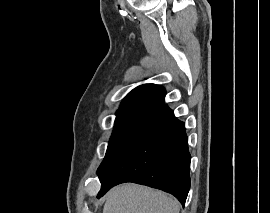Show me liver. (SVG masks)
<instances>
[{"label": "liver", "mask_w": 270, "mask_h": 213, "mask_svg": "<svg viewBox=\"0 0 270 213\" xmlns=\"http://www.w3.org/2000/svg\"><path fill=\"white\" fill-rule=\"evenodd\" d=\"M179 202L161 191L124 184L106 196L103 213H179Z\"/></svg>", "instance_id": "6515ba94"}]
</instances>
